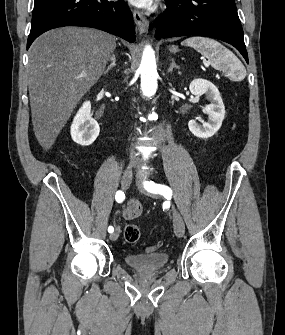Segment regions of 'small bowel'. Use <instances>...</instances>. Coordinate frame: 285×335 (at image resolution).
Wrapping results in <instances>:
<instances>
[{
  "mask_svg": "<svg viewBox=\"0 0 285 335\" xmlns=\"http://www.w3.org/2000/svg\"><path fill=\"white\" fill-rule=\"evenodd\" d=\"M142 212L141 203L137 199H132L122 208L121 214L125 220H134L139 218Z\"/></svg>",
  "mask_w": 285,
  "mask_h": 335,
  "instance_id": "small-bowel-1",
  "label": "small bowel"
}]
</instances>
